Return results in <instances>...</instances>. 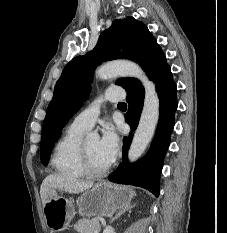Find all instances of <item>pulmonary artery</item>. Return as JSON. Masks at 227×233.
<instances>
[{"mask_svg":"<svg viewBox=\"0 0 227 233\" xmlns=\"http://www.w3.org/2000/svg\"><path fill=\"white\" fill-rule=\"evenodd\" d=\"M123 92L119 89H108L99 95L88 107L82 110L73 120L72 126L82 130L90 129L96 122L102 103L106 101L116 102L123 98Z\"/></svg>","mask_w":227,"mask_h":233,"instance_id":"pulmonary-artery-1","label":"pulmonary artery"}]
</instances>
